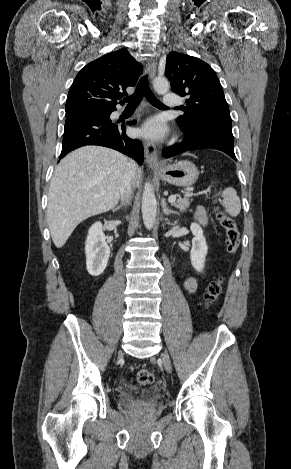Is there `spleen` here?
<instances>
[{
  "mask_svg": "<svg viewBox=\"0 0 291 469\" xmlns=\"http://www.w3.org/2000/svg\"><path fill=\"white\" fill-rule=\"evenodd\" d=\"M222 197L225 211L233 217L237 216L241 210V203L235 189L232 187L226 188L222 192Z\"/></svg>",
  "mask_w": 291,
  "mask_h": 469,
  "instance_id": "obj_1",
  "label": "spleen"
}]
</instances>
